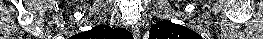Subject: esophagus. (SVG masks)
Here are the masks:
<instances>
[{
	"mask_svg": "<svg viewBox=\"0 0 263 39\" xmlns=\"http://www.w3.org/2000/svg\"><path fill=\"white\" fill-rule=\"evenodd\" d=\"M132 32H133L134 39L140 38V31H139V28L137 26L132 27Z\"/></svg>",
	"mask_w": 263,
	"mask_h": 39,
	"instance_id": "obj_1",
	"label": "esophagus"
}]
</instances>
